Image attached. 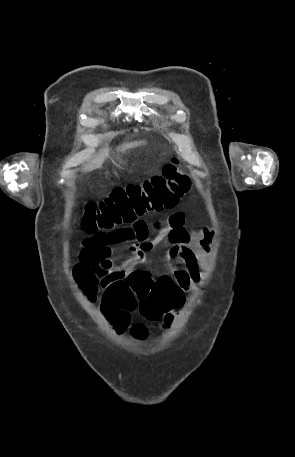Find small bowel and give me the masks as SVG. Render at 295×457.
Wrapping results in <instances>:
<instances>
[{
    "label": "small bowel",
    "mask_w": 295,
    "mask_h": 457,
    "mask_svg": "<svg viewBox=\"0 0 295 457\" xmlns=\"http://www.w3.org/2000/svg\"><path fill=\"white\" fill-rule=\"evenodd\" d=\"M153 228L156 235L149 238V223L138 219L129 227L91 233L82 240L79 260L92 264L105 263L110 261L112 245L128 242L132 253L120 267L127 276L131 271L139 270L137 267L146 262L149 252L166 244L169 272L158 279L168 277L174 282L178 292V308L183 304L185 293L201 279L211 250L213 232L208 228L187 229L185 216L180 211L170 214L164 221L154 223ZM101 285L105 288L103 282Z\"/></svg>",
    "instance_id": "obj_1"
}]
</instances>
